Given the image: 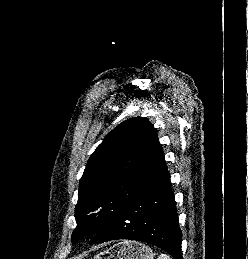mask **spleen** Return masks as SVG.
I'll list each match as a JSON object with an SVG mask.
<instances>
[{
	"label": "spleen",
	"mask_w": 248,
	"mask_h": 259,
	"mask_svg": "<svg viewBox=\"0 0 248 259\" xmlns=\"http://www.w3.org/2000/svg\"><path fill=\"white\" fill-rule=\"evenodd\" d=\"M158 259H172V258H170V256L169 255H167V254H161L159 257H158Z\"/></svg>",
	"instance_id": "1"
}]
</instances>
